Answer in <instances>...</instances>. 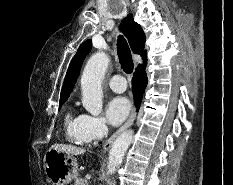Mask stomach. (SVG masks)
Masks as SVG:
<instances>
[{
	"label": "stomach",
	"instance_id": "0dacf381",
	"mask_svg": "<svg viewBox=\"0 0 233 185\" xmlns=\"http://www.w3.org/2000/svg\"><path fill=\"white\" fill-rule=\"evenodd\" d=\"M76 159L64 152L50 148L44 156V170L51 185H67L77 178Z\"/></svg>",
	"mask_w": 233,
	"mask_h": 185
}]
</instances>
